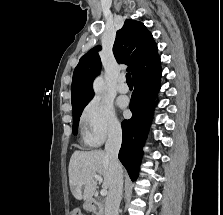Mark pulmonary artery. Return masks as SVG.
I'll list each match as a JSON object with an SVG mask.
<instances>
[{
  "instance_id": "pulmonary-artery-1",
  "label": "pulmonary artery",
  "mask_w": 223,
  "mask_h": 215,
  "mask_svg": "<svg viewBox=\"0 0 223 215\" xmlns=\"http://www.w3.org/2000/svg\"><path fill=\"white\" fill-rule=\"evenodd\" d=\"M117 90L120 93H127L129 91V87L126 83L125 77L120 76L117 81Z\"/></svg>"
}]
</instances>
